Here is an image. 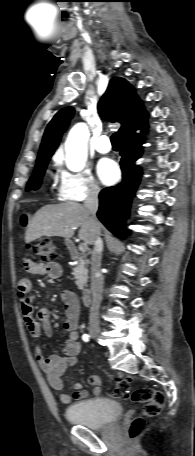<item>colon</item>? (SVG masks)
<instances>
[{
  "instance_id": "1",
  "label": "colon",
  "mask_w": 195,
  "mask_h": 456,
  "mask_svg": "<svg viewBox=\"0 0 195 456\" xmlns=\"http://www.w3.org/2000/svg\"><path fill=\"white\" fill-rule=\"evenodd\" d=\"M30 249L43 262H53L56 258V244L52 239L45 238L30 245ZM130 388V380L126 377H119L116 379L113 395L142 404V416L134 418L129 425V436L134 438L144 428V418L155 417L161 412L165 404V395L162 391L149 387L140 388L130 393Z\"/></svg>"
}]
</instances>
